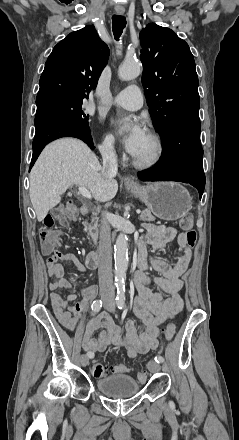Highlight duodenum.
Here are the masks:
<instances>
[{
    "label": "duodenum",
    "instance_id": "duodenum-1",
    "mask_svg": "<svg viewBox=\"0 0 239 440\" xmlns=\"http://www.w3.org/2000/svg\"><path fill=\"white\" fill-rule=\"evenodd\" d=\"M81 214L87 215L90 213V207L87 204L81 206ZM99 264V255L95 251H91L86 256V266L90 269H95Z\"/></svg>",
    "mask_w": 239,
    "mask_h": 440
}]
</instances>
